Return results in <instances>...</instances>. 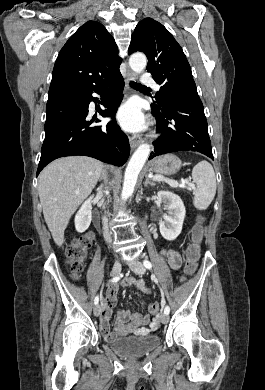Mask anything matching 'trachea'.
Wrapping results in <instances>:
<instances>
[{"instance_id":"trachea-1","label":"trachea","mask_w":265,"mask_h":390,"mask_svg":"<svg viewBox=\"0 0 265 390\" xmlns=\"http://www.w3.org/2000/svg\"><path fill=\"white\" fill-rule=\"evenodd\" d=\"M130 86L133 87V88H147L146 86L141 85L140 83H137V82H134V81L130 82Z\"/></svg>"}]
</instances>
